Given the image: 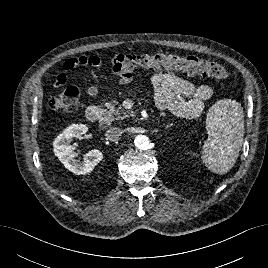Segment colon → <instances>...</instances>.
Masks as SVG:
<instances>
[{
    "label": "colon",
    "mask_w": 268,
    "mask_h": 268,
    "mask_svg": "<svg viewBox=\"0 0 268 268\" xmlns=\"http://www.w3.org/2000/svg\"><path fill=\"white\" fill-rule=\"evenodd\" d=\"M116 69L144 68L154 70H180L185 76L200 75L218 80L229 77L227 70L217 62L202 59L194 55L176 53H157L155 55L134 56L121 54L115 61ZM80 92L74 86L67 87L63 92L52 95L48 105L55 110L73 112L77 108Z\"/></svg>",
    "instance_id": "5ec220e1"
}]
</instances>
